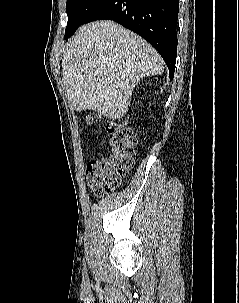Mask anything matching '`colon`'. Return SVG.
I'll return each mask as SVG.
<instances>
[{
	"mask_svg": "<svg viewBox=\"0 0 239 303\" xmlns=\"http://www.w3.org/2000/svg\"><path fill=\"white\" fill-rule=\"evenodd\" d=\"M87 119L89 122L96 121L93 115ZM108 133L109 155L87 166L88 185L98 197L114 191L134 164L136 137L132 129L124 123L111 122L108 124Z\"/></svg>",
	"mask_w": 239,
	"mask_h": 303,
	"instance_id": "1",
	"label": "colon"
}]
</instances>
